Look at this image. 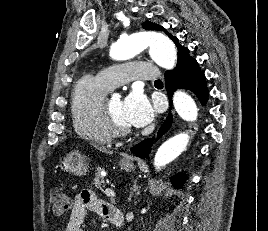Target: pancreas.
Masks as SVG:
<instances>
[{"label":"pancreas","instance_id":"pancreas-1","mask_svg":"<svg viewBox=\"0 0 268 231\" xmlns=\"http://www.w3.org/2000/svg\"><path fill=\"white\" fill-rule=\"evenodd\" d=\"M102 170H103V168H101V167L97 168V172L95 173V178L93 180V185L99 190H103V188L106 185L105 179L101 176Z\"/></svg>","mask_w":268,"mask_h":231}]
</instances>
